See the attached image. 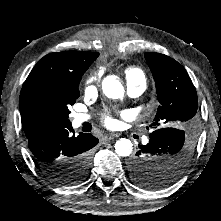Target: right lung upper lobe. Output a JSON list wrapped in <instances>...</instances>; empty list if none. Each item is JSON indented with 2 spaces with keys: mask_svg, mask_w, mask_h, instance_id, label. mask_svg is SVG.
Returning <instances> with one entry per match:
<instances>
[{
  "mask_svg": "<svg viewBox=\"0 0 221 221\" xmlns=\"http://www.w3.org/2000/svg\"><path fill=\"white\" fill-rule=\"evenodd\" d=\"M99 56L98 53L66 51L50 53L44 56L32 69L24 82L21 94L32 84L44 79H60L68 74H74L83 69H88L91 63ZM26 137L47 127H27L22 120Z\"/></svg>",
  "mask_w": 221,
  "mask_h": 221,
  "instance_id": "right-lung-upper-lobe-1",
  "label": "right lung upper lobe"
}]
</instances>
